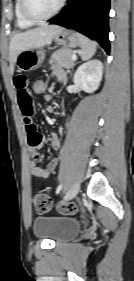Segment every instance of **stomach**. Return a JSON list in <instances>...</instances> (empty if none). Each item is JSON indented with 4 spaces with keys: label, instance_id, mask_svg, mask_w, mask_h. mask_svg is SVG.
<instances>
[{
    "label": "stomach",
    "instance_id": "obj_1",
    "mask_svg": "<svg viewBox=\"0 0 134 281\" xmlns=\"http://www.w3.org/2000/svg\"><path fill=\"white\" fill-rule=\"evenodd\" d=\"M80 34L62 28V30L54 36V41L64 46L65 48H75L80 45ZM45 58V54L42 50L29 49L21 51L15 61V65L18 71H32L38 69Z\"/></svg>",
    "mask_w": 134,
    "mask_h": 281
}]
</instances>
